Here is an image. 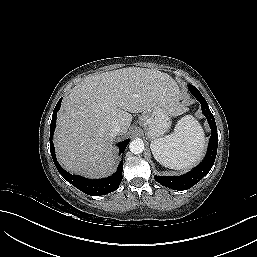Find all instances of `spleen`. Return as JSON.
<instances>
[{"mask_svg":"<svg viewBox=\"0 0 257 257\" xmlns=\"http://www.w3.org/2000/svg\"><path fill=\"white\" fill-rule=\"evenodd\" d=\"M154 158L171 169H186L194 165L205 149L204 132L193 116L181 118L174 132L151 142Z\"/></svg>","mask_w":257,"mask_h":257,"instance_id":"obj_1","label":"spleen"}]
</instances>
